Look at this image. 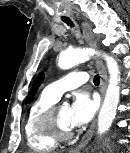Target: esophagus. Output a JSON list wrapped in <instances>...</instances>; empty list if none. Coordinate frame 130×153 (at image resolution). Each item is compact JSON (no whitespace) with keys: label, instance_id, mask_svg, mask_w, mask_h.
Listing matches in <instances>:
<instances>
[{"label":"esophagus","instance_id":"34e87169","mask_svg":"<svg viewBox=\"0 0 130 153\" xmlns=\"http://www.w3.org/2000/svg\"><path fill=\"white\" fill-rule=\"evenodd\" d=\"M82 29H83V35H84V38L87 44L93 48H97V42L94 38V35L91 31L89 24L86 22H82ZM95 64H96V68L101 77L100 93L103 99L105 95L106 87H107V79H108L107 72H106V69L102 61L99 60L98 58H95ZM95 127H96V120L91 124L90 128L88 129V131L82 138L81 142L75 148H72L69 152L70 153H80V151L83 150L88 144V142L90 141Z\"/></svg>","mask_w":130,"mask_h":153}]
</instances>
